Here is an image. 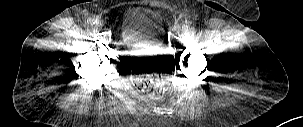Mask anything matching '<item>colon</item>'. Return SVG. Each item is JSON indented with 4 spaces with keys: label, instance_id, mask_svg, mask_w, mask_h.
Instances as JSON below:
<instances>
[{
    "label": "colon",
    "instance_id": "obj_1",
    "mask_svg": "<svg viewBox=\"0 0 303 127\" xmlns=\"http://www.w3.org/2000/svg\"><path fill=\"white\" fill-rule=\"evenodd\" d=\"M137 88L152 97H161L165 93L164 74L167 72L164 61L158 59L144 60L133 68Z\"/></svg>",
    "mask_w": 303,
    "mask_h": 127
}]
</instances>
